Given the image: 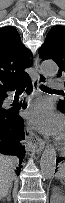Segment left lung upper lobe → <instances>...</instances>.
<instances>
[{
	"label": "left lung upper lobe",
	"mask_w": 65,
	"mask_h": 203,
	"mask_svg": "<svg viewBox=\"0 0 65 203\" xmlns=\"http://www.w3.org/2000/svg\"><path fill=\"white\" fill-rule=\"evenodd\" d=\"M42 60L53 59L59 66L58 77L65 79V27L54 26L46 36L45 43L39 48ZM65 85V82H64ZM58 108L65 112V99L60 100Z\"/></svg>",
	"instance_id": "left-lung-upper-lobe-1"
}]
</instances>
